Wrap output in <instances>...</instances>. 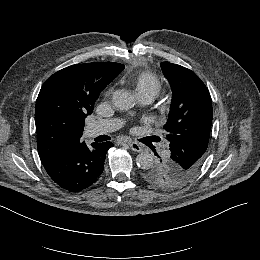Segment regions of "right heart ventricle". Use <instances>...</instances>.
I'll return each mask as SVG.
<instances>
[{
    "label": "right heart ventricle",
    "instance_id": "1",
    "mask_svg": "<svg viewBox=\"0 0 260 260\" xmlns=\"http://www.w3.org/2000/svg\"><path fill=\"white\" fill-rule=\"evenodd\" d=\"M129 84L136 97L149 96L154 99L163 90V81L158 76L144 70L132 72L129 76Z\"/></svg>",
    "mask_w": 260,
    "mask_h": 260
}]
</instances>
